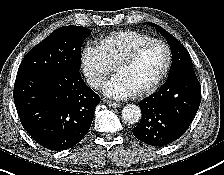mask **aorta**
Here are the masks:
<instances>
[{"instance_id": "obj_1", "label": "aorta", "mask_w": 224, "mask_h": 175, "mask_svg": "<svg viewBox=\"0 0 224 175\" xmlns=\"http://www.w3.org/2000/svg\"><path fill=\"white\" fill-rule=\"evenodd\" d=\"M122 118L128 123H137L141 118V110L139 106L134 104L126 105L122 110Z\"/></svg>"}]
</instances>
